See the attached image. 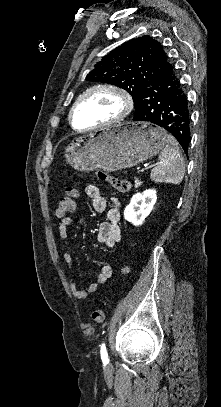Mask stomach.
Here are the masks:
<instances>
[{"label":"stomach","mask_w":221,"mask_h":407,"mask_svg":"<svg viewBox=\"0 0 221 407\" xmlns=\"http://www.w3.org/2000/svg\"><path fill=\"white\" fill-rule=\"evenodd\" d=\"M166 133L146 122H127L74 138L66 161L78 171L114 172L133 167L164 149Z\"/></svg>","instance_id":"obj_1"}]
</instances>
